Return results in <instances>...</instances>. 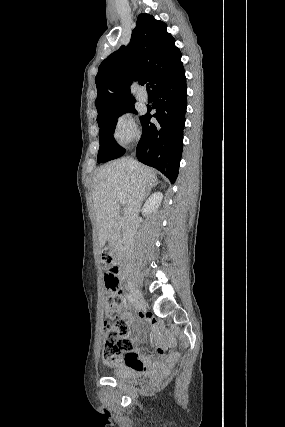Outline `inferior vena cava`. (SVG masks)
Listing matches in <instances>:
<instances>
[{"label": "inferior vena cava", "mask_w": 285, "mask_h": 427, "mask_svg": "<svg viewBox=\"0 0 285 427\" xmlns=\"http://www.w3.org/2000/svg\"><path fill=\"white\" fill-rule=\"evenodd\" d=\"M131 164L134 169L135 187L124 209L125 223L123 241L126 250L132 249L134 245V235L138 225V214L146 193V183L143 174L134 161Z\"/></svg>", "instance_id": "1"}]
</instances>
